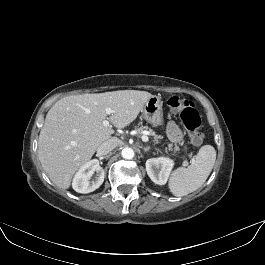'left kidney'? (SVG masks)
<instances>
[{
    "label": "left kidney",
    "instance_id": "left-kidney-1",
    "mask_svg": "<svg viewBox=\"0 0 265 265\" xmlns=\"http://www.w3.org/2000/svg\"><path fill=\"white\" fill-rule=\"evenodd\" d=\"M145 165L150 179L155 184L165 185L174 166V161L167 157L150 158Z\"/></svg>",
    "mask_w": 265,
    "mask_h": 265
}]
</instances>
